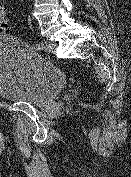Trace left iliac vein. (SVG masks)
I'll return each instance as SVG.
<instances>
[{
  "instance_id": "1",
  "label": "left iliac vein",
  "mask_w": 131,
  "mask_h": 177,
  "mask_svg": "<svg viewBox=\"0 0 131 177\" xmlns=\"http://www.w3.org/2000/svg\"><path fill=\"white\" fill-rule=\"evenodd\" d=\"M45 45H46V47H45L46 51H48V52H55L56 47H57L56 43H54L52 41H46Z\"/></svg>"
}]
</instances>
